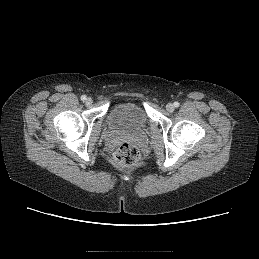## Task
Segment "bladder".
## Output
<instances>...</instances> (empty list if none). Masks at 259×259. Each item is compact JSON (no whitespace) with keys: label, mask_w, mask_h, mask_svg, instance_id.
Returning a JSON list of instances; mask_svg holds the SVG:
<instances>
[{"label":"bladder","mask_w":259,"mask_h":259,"mask_svg":"<svg viewBox=\"0 0 259 259\" xmlns=\"http://www.w3.org/2000/svg\"><path fill=\"white\" fill-rule=\"evenodd\" d=\"M106 123L112 130L137 132L148 127L149 117L140 104L122 102L109 108Z\"/></svg>","instance_id":"obj_1"}]
</instances>
